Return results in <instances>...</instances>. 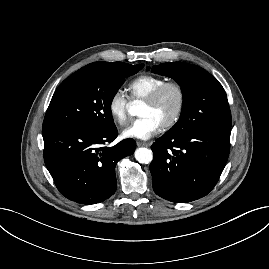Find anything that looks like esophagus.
Segmentation results:
<instances>
[{"label":"esophagus","mask_w":269,"mask_h":269,"mask_svg":"<svg viewBox=\"0 0 269 269\" xmlns=\"http://www.w3.org/2000/svg\"><path fill=\"white\" fill-rule=\"evenodd\" d=\"M137 146H139V147H142V146L147 147V146H149V143L142 142V141H137Z\"/></svg>","instance_id":"1"}]
</instances>
